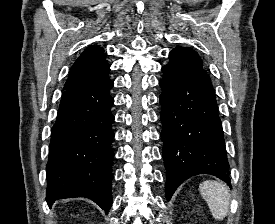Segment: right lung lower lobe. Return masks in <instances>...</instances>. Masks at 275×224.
I'll return each instance as SVG.
<instances>
[{"label": "right lung lower lobe", "instance_id": "1", "mask_svg": "<svg viewBox=\"0 0 275 224\" xmlns=\"http://www.w3.org/2000/svg\"><path fill=\"white\" fill-rule=\"evenodd\" d=\"M108 77L65 90L51 129L46 167V201L88 197L106 214L112 204L111 180L114 152L110 107L114 99Z\"/></svg>", "mask_w": 275, "mask_h": 224}]
</instances>
